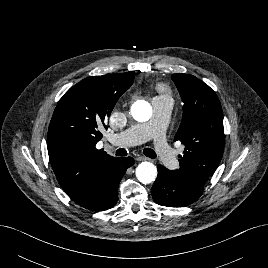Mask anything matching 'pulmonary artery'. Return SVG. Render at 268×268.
I'll return each mask as SVG.
<instances>
[{
    "instance_id": "pulmonary-artery-1",
    "label": "pulmonary artery",
    "mask_w": 268,
    "mask_h": 268,
    "mask_svg": "<svg viewBox=\"0 0 268 268\" xmlns=\"http://www.w3.org/2000/svg\"><path fill=\"white\" fill-rule=\"evenodd\" d=\"M151 104L153 109L151 121L132 126L122 135L114 134L110 137V141L113 145L131 146L153 139V151L156 156H159L166 166L174 167L178 159L164 137V129L170 115L171 105L169 101L161 97L153 98Z\"/></svg>"
}]
</instances>
